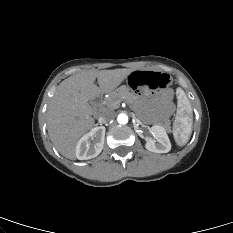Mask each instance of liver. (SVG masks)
<instances>
[{
	"mask_svg": "<svg viewBox=\"0 0 233 233\" xmlns=\"http://www.w3.org/2000/svg\"><path fill=\"white\" fill-rule=\"evenodd\" d=\"M132 69L86 70L63 80L47 111L48 134L57 151L75 160L79 138L95 123L88 101L116 89ZM97 79L98 86L94 84Z\"/></svg>",
	"mask_w": 233,
	"mask_h": 233,
	"instance_id": "1",
	"label": "liver"
}]
</instances>
